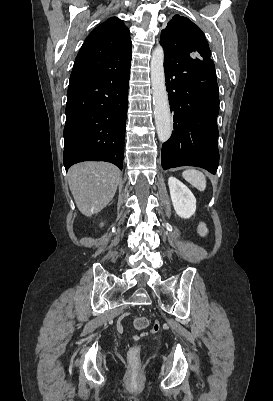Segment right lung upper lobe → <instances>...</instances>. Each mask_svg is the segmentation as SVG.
Instances as JSON below:
<instances>
[{
    "label": "right lung upper lobe",
    "mask_w": 273,
    "mask_h": 401,
    "mask_svg": "<svg viewBox=\"0 0 273 401\" xmlns=\"http://www.w3.org/2000/svg\"><path fill=\"white\" fill-rule=\"evenodd\" d=\"M131 59L128 28L116 18L100 24L83 43L72 69L68 89L102 76L111 67Z\"/></svg>",
    "instance_id": "obj_1"
}]
</instances>
